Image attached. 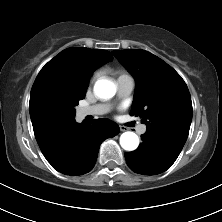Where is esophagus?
I'll return each instance as SVG.
<instances>
[{"mask_svg":"<svg viewBox=\"0 0 222 222\" xmlns=\"http://www.w3.org/2000/svg\"><path fill=\"white\" fill-rule=\"evenodd\" d=\"M119 128H120V131H122V132H124V131H126L127 130V128L125 127V126H119Z\"/></svg>","mask_w":222,"mask_h":222,"instance_id":"34e87169","label":"esophagus"}]
</instances>
